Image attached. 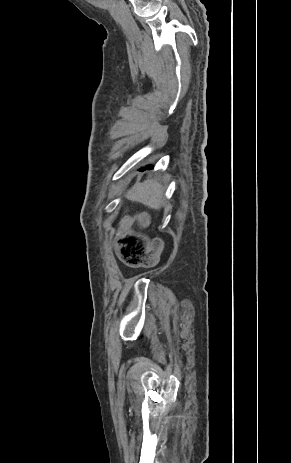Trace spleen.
Listing matches in <instances>:
<instances>
[{
    "label": "spleen",
    "mask_w": 291,
    "mask_h": 463,
    "mask_svg": "<svg viewBox=\"0 0 291 463\" xmlns=\"http://www.w3.org/2000/svg\"><path fill=\"white\" fill-rule=\"evenodd\" d=\"M164 187L158 179H147L135 184L126 194L127 199L158 210L163 204Z\"/></svg>",
    "instance_id": "obj_1"
}]
</instances>
